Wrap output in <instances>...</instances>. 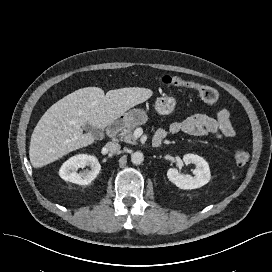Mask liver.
<instances>
[{
    "instance_id": "liver-1",
    "label": "liver",
    "mask_w": 272,
    "mask_h": 272,
    "mask_svg": "<svg viewBox=\"0 0 272 272\" xmlns=\"http://www.w3.org/2000/svg\"><path fill=\"white\" fill-rule=\"evenodd\" d=\"M147 88L126 87L106 94L99 87L81 88L53 104L41 117L31 136L29 157L41 168L69 152L91 145L95 137L83 127L103 129L130 108L152 96Z\"/></svg>"
}]
</instances>
